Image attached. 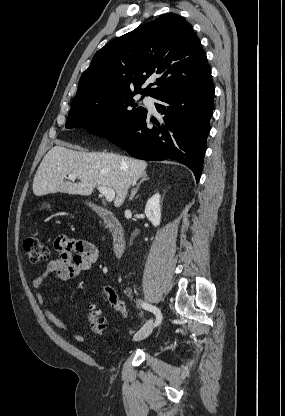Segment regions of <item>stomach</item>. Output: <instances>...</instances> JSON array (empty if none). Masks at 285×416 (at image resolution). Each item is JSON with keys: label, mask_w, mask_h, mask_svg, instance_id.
Here are the masks:
<instances>
[{"label": "stomach", "mask_w": 285, "mask_h": 416, "mask_svg": "<svg viewBox=\"0 0 285 416\" xmlns=\"http://www.w3.org/2000/svg\"><path fill=\"white\" fill-rule=\"evenodd\" d=\"M51 208V204H49V202H43V204H40V206H38L37 210H50Z\"/></svg>", "instance_id": "1"}]
</instances>
